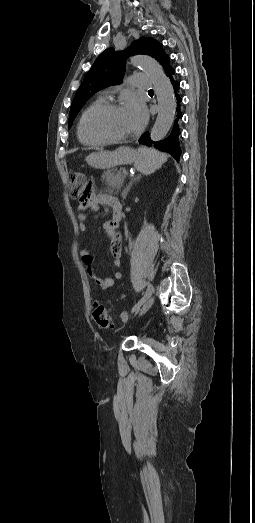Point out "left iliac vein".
<instances>
[{
  "mask_svg": "<svg viewBox=\"0 0 255 523\" xmlns=\"http://www.w3.org/2000/svg\"><path fill=\"white\" fill-rule=\"evenodd\" d=\"M148 288H154L152 284H149ZM154 303V296L149 297L143 304L142 308L140 309L139 316L145 314L153 305Z\"/></svg>",
  "mask_w": 255,
  "mask_h": 523,
  "instance_id": "left-iliac-vein-1",
  "label": "left iliac vein"
}]
</instances>
